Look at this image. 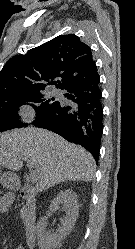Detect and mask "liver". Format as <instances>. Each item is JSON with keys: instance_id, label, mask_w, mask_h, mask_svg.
Returning a JSON list of instances; mask_svg holds the SVG:
<instances>
[{"instance_id": "liver-1", "label": "liver", "mask_w": 135, "mask_h": 249, "mask_svg": "<svg viewBox=\"0 0 135 249\" xmlns=\"http://www.w3.org/2000/svg\"><path fill=\"white\" fill-rule=\"evenodd\" d=\"M25 157L37 166V191H44L64 181H91L95 176L93 156L55 133L39 128H24L0 134L1 166L18 171Z\"/></svg>"}]
</instances>
